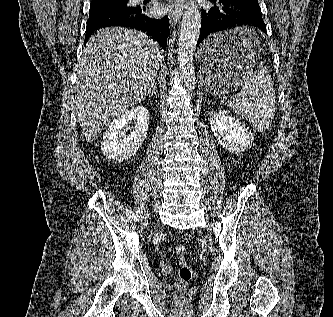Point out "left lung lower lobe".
<instances>
[{
	"instance_id": "obj_1",
	"label": "left lung lower lobe",
	"mask_w": 333,
	"mask_h": 317,
	"mask_svg": "<svg viewBox=\"0 0 333 317\" xmlns=\"http://www.w3.org/2000/svg\"><path fill=\"white\" fill-rule=\"evenodd\" d=\"M214 6L202 10V22L199 45L208 35L239 26H256L265 34L266 25L262 19L261 9L257 0H210ZM233 47L215 46L208 55L221 58L234 51Z\"/></svg>"
}]
</instances>
